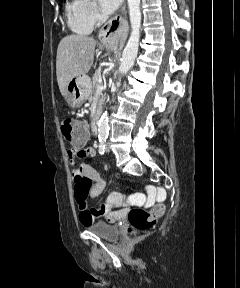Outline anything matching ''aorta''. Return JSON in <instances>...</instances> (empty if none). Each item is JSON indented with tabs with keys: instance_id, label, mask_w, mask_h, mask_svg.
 Here are the masks:
<instances>
[{
	"instance_id": "1",
	"label": "aorta",
	"mask_w": 240,
	"mask_h": 288,
	"mask_svg": "<svg viewBox=\"0 0 240 288\" xmlns=\"http://www.w3.org/2000/svg\"><path fill=\"white\" fill-rule=\"evenodd\" d=\"M129 17L131 24V34L129 40L123 50L119 72L125 74L135 62L137 57L142 14L140 10V0H127ZM109 133V115L105 111L102 113L98 122V139L105 141Z\"/></svg>"
}]
</instances>
